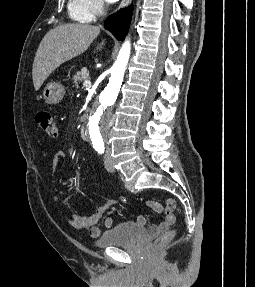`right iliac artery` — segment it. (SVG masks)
Here are the masks:
<instances>
[{
  "mask_svg": "<svg viewBox=\"0 0 255 287\" xmlns=\"http://www.w3.org/2000/svg\"><path fill=\"white\" fill-rule=\"evenodd\" d=\"M96 150L98 151V153H101V154H102V153L104 152V147L97 148Z\"/></svg>",
  "mask_w": 255,
  "mask_h": 287,
  "instance_id": "right-iliac-artery-1",
  "label": "right iliac artery"
}]
</instances>
